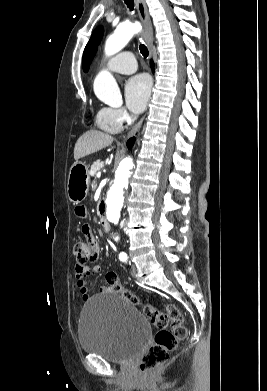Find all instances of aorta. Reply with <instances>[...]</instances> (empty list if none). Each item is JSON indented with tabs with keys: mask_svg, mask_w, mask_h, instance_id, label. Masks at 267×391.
Here are the masks:
<instances>
[{
	"mask_svg": "<svg viewBox=\"0 0 267 391\" xmlns=\"http://www.w3.org/2000/svg\"><path fill=\"white\" fill-rule=\"evenodd\" d=\"M140 30L141 26L138 23L118 25L114 33L106 40L105 55L110 57L121 51ZM94 92L102 102L110 106H117L122 103V95L116 80L106 70L101 71L95 78ZM133 166V160L129 157L120 161L115 172L114 183L107 193L106 216L114 227L119 223L120 212L124 204V197L133 172Z\"/></svg>",
	"mask_w": 267,
	"mask_h": 391,
	"instance_id": "1",
	"label": "aorta"
}]
</instances>
